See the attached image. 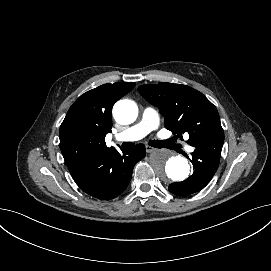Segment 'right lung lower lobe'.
Wrapping results in <instances>:
<instances>
[{
	"label": "right lung lower lobe",
	"instance_id": "98d812e1",
	"mask_svg": "<svg viewBox=\"0 0 271 271\" xmlns=\"http://www.w3.org/2000/svg\"><path fill=\"white\" fill-rule=\"evenodd\" d=\"M145 155L143 144L122 150V153L113 147L107 148L71 175L88 195L100 200H111L124 192L131 180L135 164Z\"/></svg>",
	"mask_w": 271,
	"mask_h": 271
}]
</instances>
